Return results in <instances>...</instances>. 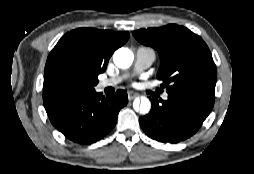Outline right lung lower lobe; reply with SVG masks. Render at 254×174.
<instances>
[{"label": "right lung lower lobe", "instance_id": "obj_1", "mask_svg": "<svg viewBox=\"0 0 254 174\" xmlns=\"http://www.w3.org/2000/svg\"><path fill=\"white\" fill-rule=\"evenodd\" d=\"M127 102L124 90L103 97L93 89L44 100V107L55 128L71 141L86 145L114 128L118 113Z\"/></svg>", "mask_w": 254, "mask_h": 174}]
</instances>
